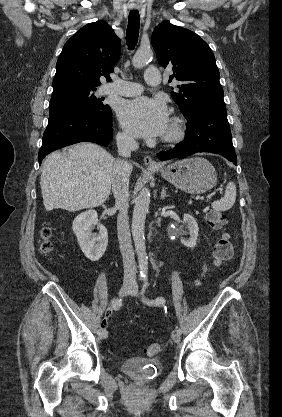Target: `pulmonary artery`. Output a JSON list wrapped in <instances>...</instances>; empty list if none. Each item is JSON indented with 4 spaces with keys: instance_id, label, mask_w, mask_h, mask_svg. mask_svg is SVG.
Masks as SVG:
<instances>
[{
    "instance_id": "obj_1",
    "label": "pulmonary artery",
    "mask_w": 282,
    "mask_h": 417,
    "mask_svg": "<svg viewBox=\"0 0 282 417\" xmlns=\"http://www.w3.org/2000/svg\"><path fill=\"white\" fill-rule=\"evenodd\" d=\"M158 72V65H149L148 69L144 72L145 82L150 85L160 83L161 76ZM141 91L142 86L139 83L125 81L119 78H114L113 83L105 89L107 94H117L126 97L138 95Z\"/></svg>"
}]
</instances>
